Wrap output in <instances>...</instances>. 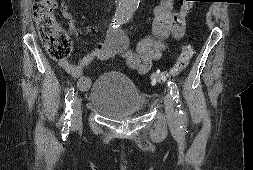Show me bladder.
<instances>
[{
    "label": "bladder",
    "mask_w": 253,
    "mask_h": 170,
    "mask_svg": "<svg viewBox=\"0 0 253 170\" xmlns=\"http://www.w3.org/2000/svg\"><path fill=\"white\" fill-rule=\"evenodd\" d=\"M88 104L101 115L120 120L143 112L146 99L127 75L105 71L94 81Z\"/></svg>",
    "instance_id": "bladder-1"
}]
</instances>
